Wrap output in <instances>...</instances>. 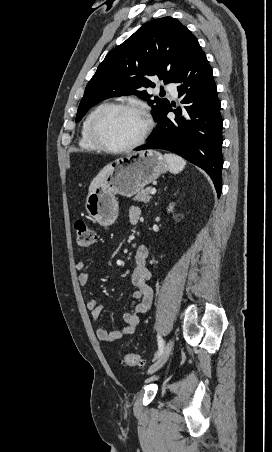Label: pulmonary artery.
Segmentation results:
<instances>
[{"mask_svg":"<svg viewBox=\"0 0 272 452\" xmlns=\"http://www.w3.org/2000/svg\"><path fill=\"white\" fill-rule=\"evenodd\" d=\"M165 89L167 91H169L171 94L176 95L177 94V90L175 88V84L174 83H166L165 84Z\"/></svg>","mask_w":272,"mask_h":452,"instance_id":"e3ab8cb5","label":"pulmonary artery"}]
</instances>
